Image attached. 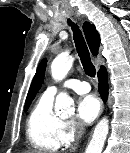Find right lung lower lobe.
<instances>
[{"instance_id": "right-lung-lower-lobe-1", "label": "right lung lower lobe", "mask_w": 130, "mask_h": 153, "mask_svg": "<svg viewBox=\"0 0 130 153\" xmlns=\"http://www.w3.org/2000/svg\"><path fill=\"white\" fill-rule=\"evenodd\" d=\"M107 79H108L107 71L104 66H101L98 71V80H99L98 90L103 101H106L108 97V80Z\"/></svg>"}]
</instances>
